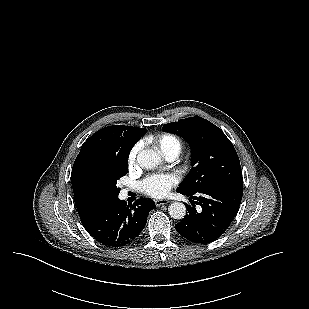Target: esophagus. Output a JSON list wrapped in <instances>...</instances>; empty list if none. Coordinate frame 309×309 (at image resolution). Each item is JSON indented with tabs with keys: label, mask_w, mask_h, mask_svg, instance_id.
Returning a JSON list of instances; mask_svg holds the SVG:
<instances>
[{
	"label": "esophagus",
	"mask_w": 309,
	"mask_h": 309,
	"mask_svg": "<svg viewBox=\"0 0 309 309\" xmlns=\"http://www.w3.org/2000/svg\"><path fill=\"white\" fill-rule=\"evenodd\" d=\"M168 203H170V201L167 200V199L155 200V205H156L157 207H160V206H162V205H166V204H168Z\"/></svg>",
	"instance_id": "obj_1"
}]
</instances>
